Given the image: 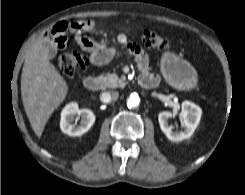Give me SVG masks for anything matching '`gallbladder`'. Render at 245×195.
Masks as SVG:
<instances>
[{
    "label": "gallbladder",
    "instance_id": "1",
    "mask_svg": "<svg viewBox=\"0 0 245 195\" xmlns=\"http://www.w3.org/2000/svg\"><path fill=\"white\" fill-rule=\"evenodd\" d=\"M48 50H49L48 53L49 57H54L56 55L57 49L54 46H49Z\"/></svg>",
    "mask_w": 245,
    "mask_h": 195
}]
</instances>
